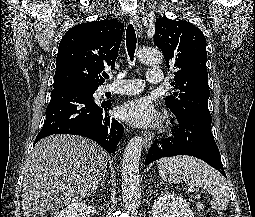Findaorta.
I'll list each match as a JSON object with an SVG mask.
<instances>
[{"label":"aorta","instance_id":"1","mask_svg":"<svg viewBox=\"0 0 255 217\" xmlns=\"http://www.w3.org/2000/svg\"><path fill=\"white\" fill-rule=\"evenodd\" d=\"M137 57L144 64H159L162 61L160 51L153 48H142ZM142 151V137H133L126 145L121 162L122 196L125 210L135 213L139 206V161Z\"/></svg>","mask_w":255,"mask_h":217}]
</instances>
